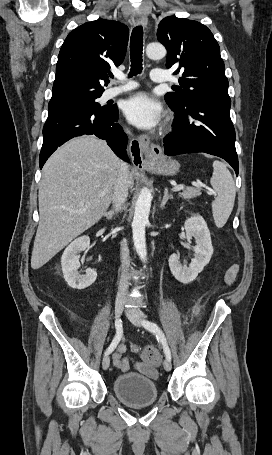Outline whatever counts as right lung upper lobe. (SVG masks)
<instances>
[{"mask_svg": "<svg viewBox=\"0 0 272 455\" xmlns=\"http://www.w3.org/2000/svg\"><path fill=\"white\" fill-rule=\"evenodd\" d=\"M129 29L112 20H95L74 29L58 56L50 102L102 94L101 80L125 57Z\"/></svg>", "mask_w": 272, "mask_h": 455, "instance_id": "obj_1", "label": "right lung upper lobe"}]
</instances>
